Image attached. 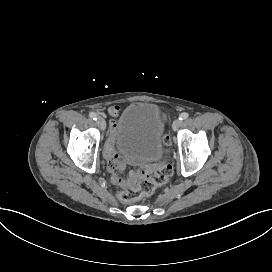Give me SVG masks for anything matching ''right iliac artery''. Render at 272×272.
<instances>
[{"label": "right iliac artery", "mask_w": 272, "mask_h": 272, "mask_svg": "<svg viewBox=\"0 0 272 272\" xmlns=\"http://www.w3.org/2000/svg\"><path fill=\"white\" fill-rule=\"evenodd\" d=\"M90 118H92L93 120H97V115L94 112H90L89 113Z\"/></svg>", "instance_id": "1"}]
</instances>
